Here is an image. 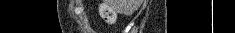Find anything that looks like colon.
<instances>
[{
	"label": "colon",
	"mask_w": 235,
	"mask_h": 33,
	"mask_svg": "<svg viewBox=\"0 0 235 33\" xmlns=\"http://www.w3.org/2000/svg\"><path fill=\"white\" fill-rule=\"evenodd\" d=\"M101 14L105 19H107L109 21H112L115 18L114 12L107 6H103L101 8Z\"/></svg>",
	"instance_id": "colon-1"
}]
</instances>
